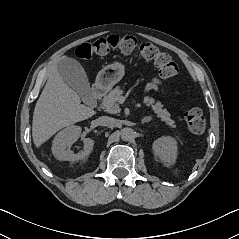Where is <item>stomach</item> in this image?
I'll return each instance as SVG.
<instances>
[{"instance_id": "stomach-1", "label": "stomach", "mask_w": 239, "mask_h": 239, "mask_svg": "<svg viewBox=\"0 0 239 239\" xmlns=\"http://www.w3.org/2000/svg\"><path fill=\"white\" fill-rule=\"evenodd\" d=\"M124 76V67L113 63L104 67L97 75L96 84L102 89L109 90Z\"/></svg>"}]
</instances>
